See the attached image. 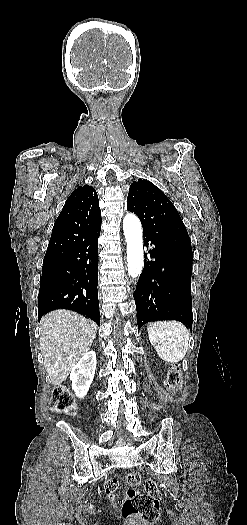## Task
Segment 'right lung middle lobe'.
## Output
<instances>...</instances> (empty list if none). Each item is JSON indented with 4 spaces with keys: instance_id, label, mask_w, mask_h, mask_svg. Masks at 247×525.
Wrapping results in <instances>:
<instances>
[{
    "instance_id": "1",
    "label": "right lung middle lobe",
    "mask_w": 247,
    "mask_h": 525,
    "mask_svg": "<svg viewBox=\"0 0 247 525\" xmlns=\"http://www.w3.org/2000/svg\"><path fill=\"white\" fill-rule=\"evenodd\" d=\"M53 258H56V256H50V257H48V258H44V261H46V260H51V259H53Z\"/></svg>"
}]
</instances>
